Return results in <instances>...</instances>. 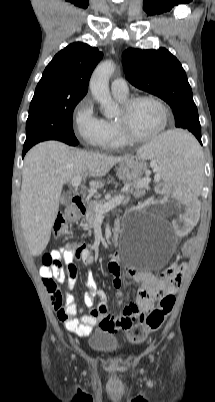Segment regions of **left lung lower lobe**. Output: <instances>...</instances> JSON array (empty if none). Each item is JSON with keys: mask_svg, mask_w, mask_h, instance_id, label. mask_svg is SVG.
I'll use <instances>...</instances> for the list:
<instances>
[{"mask_svg": "<svg viewBox=\"0 0 215 402\" xmlns=\"http://www.w3.org/2000/svg\"><path fill=\"white\" fill-rule=\"evenodd\" d=\"M199 140V142L201 143V138H197ZM202 144V143H201Z\"/></svg>", "mask_w": 215, "mask_h": 402, "instance_id": "1", "label": "left lung lower lobe"}]
</instances>
